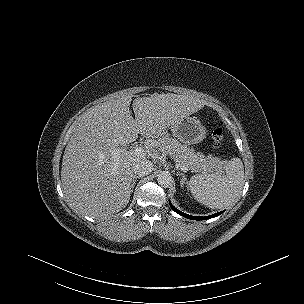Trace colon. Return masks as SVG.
Returning <instances> with one entry per match:
<instances>
[{
    "mask_svg": "<svg viewBox=\"0 0 304 304\" xmlns=\"http://www.w3.org/2000/svg\"><path fill=\"white\" fill-rule=\"evenodd\" d=\"M223 136H224V131H223L222 127L221 126L217 127L213 132V139L217 146H219L221 144Z\"/></svg>",
    "mask_w": 304,
    "mask_h": 304,
    "instance_id": "5ec220e1",
    "label": "colon"
}]
</instances>
